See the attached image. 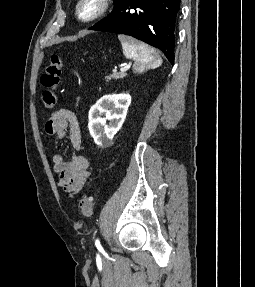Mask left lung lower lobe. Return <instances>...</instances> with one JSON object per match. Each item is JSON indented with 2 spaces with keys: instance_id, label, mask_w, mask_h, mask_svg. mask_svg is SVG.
Listing matches in <instances>:
<instances>
[{
  "instance_id": "0a47b994",
  "label": "left lung lower lobe",
  "mask_w": 255,
  "mask_h": 287,
  "mask_svg": "<svg viewBox=\"0 0 255 287\" xmlns=\"http://www.w3.org/2000/svg\"><path fill=\"white\" fill-rule=\"evenodd\" d=\"M181 0H117L113 12L89 30L126 34L159 48L174 63Z\"/></svg>"
}]
</instances>
